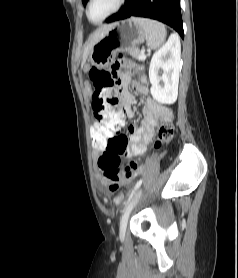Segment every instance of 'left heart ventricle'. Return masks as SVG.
I'll return each instance as SVG.
<instances>
[{
  "mask_svg": "<svg viewBox=\"0 0 238 278\" xmlns=\"http://www.w3.org/2000/svg\"><path fill=\"white\" fill-rule=\"evenodd\" d=\"M118 0H92L89 16L94 21H99L108 15L117 5Z\"/></svg>",
  "mask_w": 238,
  "mask_h": 278,
  "instance_id": "left-heart-ventricle-1",
  "label": "left heart ventricle"
}]
</instances>
